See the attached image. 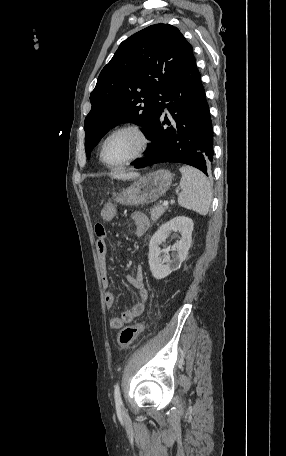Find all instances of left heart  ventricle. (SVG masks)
I'll return each instance as SVG.
<instances>
[{
	"label": "left heart ventricle",
	"instance_id": "1",
	"mask_svg": "<svg viewBox=\"0 0 286 456\" xmlns=\"http://www.w3.org/2000/svg\"><path fill=\"white\" fill-rule=\"evenodd\" d=\"M141 140L133 131H122L112 136L106 144L104 157L111 164L122 163L139 150Z\"/></svg>",
	"mask_w": 286,
	"mask_h": 456
}]
</instances>
